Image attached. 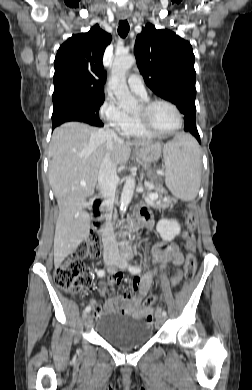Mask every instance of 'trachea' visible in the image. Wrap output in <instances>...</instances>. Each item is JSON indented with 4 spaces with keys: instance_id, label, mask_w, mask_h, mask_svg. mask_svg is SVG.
<instances>
[{
    "instance_id": "3493384b",
    "label": "trachea",
    "mask_w": 252,
    "mask_h": 390,
    "mask_svg": "<svg viewBox=\"0 0 252 390\" xmlns=\"http://www.w3.org/2000/svg\"><path fill=\"white\" fill-rule=\"evenodd\" d=\"M129 29L130 27L127 20H121L119 22L118 34L121 38H125L127 36Z\"/></svg>"
}]
</instances>
